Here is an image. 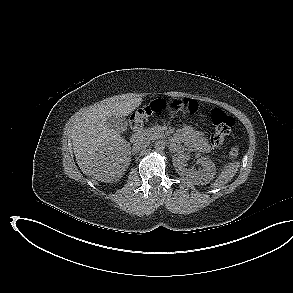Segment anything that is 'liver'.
<instances>
[{
	"instance_id": "1",
	"label": "liver",
	"mask_w": 293,
	"mask_h": 293,
	"mask_svg": "<svg viewBox=\"0 0 293 293\" xmlns=\"http://www.w3.org/2000/svg\"><path fill=\"white\" fill-rule=\"evenodd\" d=\"M141 102V97L131 94L114 96L75 115L70 135L77 164L85 175L105 183L122 177L131 161V146L107 125V117L128 116Z\"/></svg>"
}]
</instances>
